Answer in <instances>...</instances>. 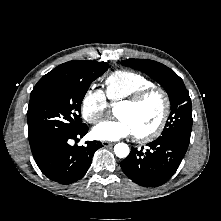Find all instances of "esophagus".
<instances>
[{"mask_svg":"<svg viewBox=\"0 0 221 221\" xmlns=\"http://www.w3.org/2000/svg\"><path fill=\"white\" fill-rule=\"evenodd\" d=\"M102 145H103L104 147H109V146L114 145V143H113V142H109V141H103V142H102Z\"/></svg>","mask_w":221,"mask_h":221,"instance_id":"1","label":"esophagus"}]
</instances>
